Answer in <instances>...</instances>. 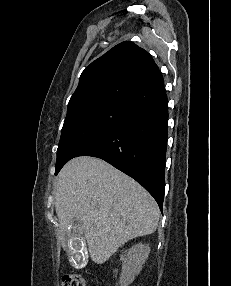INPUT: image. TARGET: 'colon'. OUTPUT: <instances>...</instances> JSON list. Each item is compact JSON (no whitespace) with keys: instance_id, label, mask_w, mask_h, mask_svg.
<instances>
[{"instance_id":"5ec220e1","label":"colon","mask_w":231,"mask_h":286,"mask_svg":"<svg viewBox=\"0 0 231 286\" xmlns=\"http://www.w3.org/2000/svg\"><path fill=\"white\" fill-rule=\"evenodd\" d=\"M62 286H87V285L82 275L77 273H71L63 277Z\"/></svg>"}]
</instances>
